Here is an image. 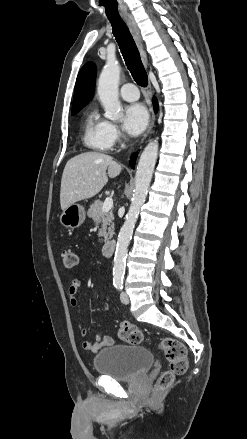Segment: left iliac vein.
I'll use <instances>...</instances> for the list:
<instances>
[{
	"label": "left iliac vein",
	"instance_id": "obj_1",
	"mask_svg": "<svg viewBox=\"0 0 247 439\" xmlns=\"http://www.w3.org/2000/svg\"><path fill=\"white\" fill-rule=\"evenodd\" d=\"M120 299H121V302L123 304H128L129 303V297H128V295L125 292H121Z\"/></svg>",
	"mask_w": 247,
	"mask_h": 439
}]
</instances>
